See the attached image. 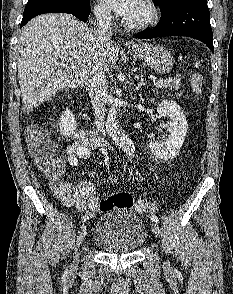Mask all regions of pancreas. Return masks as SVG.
Listing matches in <instances>:
<instances>
[{
  "instance_id": "1",
  "label": "pancreas",
  "mask_w": 233,
  "mask_h": 294,
  "mask_svg": "<svg viewBox=\"0 0 233 294\" xmlns=\"http://www.w3.org/2000/svg\"><path fill=\"white\" fill-rule=\"evenodd\" d=\"M154 85L157 88L178 90L181 87V82L179 78L175 77L171 79H160L159 81L154 82Z\"/></svg>"
}]
</instances>
